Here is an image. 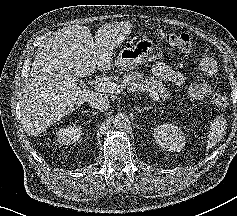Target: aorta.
Instances as JSON below:
<instances>
[{
  "label": "aorta",
  "instance_id": "obj_1",
  "mask_svg": "<svg viewBox=\"0 0 237 216\" xmlns=\"http://www.w3.org/2000/svg\"><path fill=\"white\" fill-rule=\"evenodd\" d=\"M112 123L117 130H123L129 124V117L126 114L118 113L113 117Z\"/></svg>",
  "mask_w": 237,
  "mask_h": 216
}]
</instances>
